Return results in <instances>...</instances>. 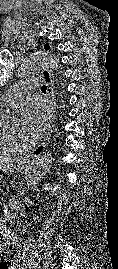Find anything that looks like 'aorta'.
<instances>
[{
    "label": "aorta",
    "mask_w": 118,
    "mask_h": 269,
    "mask_svg": "<svg viewBox=\"0 0 118 269\" xmlns=\"http://www.w3.org/2000/svg\"><path fill=\"white\" fill-rule=\"evenodd\" d=\"M58 67V60L48 52H36L27 56L21 65L20 76H28L36 73L44 67ZM2 126L5 129H15L21 122V113L14 109H4L0 111ZM53 157L48 153L36 160L28 169L26 176L28 180L42 178L52 167Z\"/></svg>",
    "instance_id": "obj_1"
}]
</instances>
